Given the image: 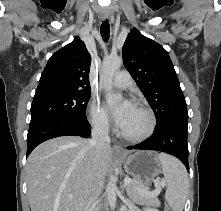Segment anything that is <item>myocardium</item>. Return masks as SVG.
Masks as SVG:
<instances>
[{
    "mask_svg": "<svg viewBox=\"0 0 221 211\" xmlns=\"http://www.w3.org/2000/svg\"><path fill=\"white\" fill-rule=\"evenodd\" d=\"M134 105L142 109L148 117V127L146 131L143 134L138 135V136H131V135L125 134L121 130H119L118 134L124 140H127L129 142L139 143V142H143L147 140L148 138L152 136L156 127V118H155L153 111L146 104L140 101H136Z\"/></svg>",
    "mask_w": 221,
    "mask_h": 211,
    "instance_id": "1",
    "label": "myocardium"
}]
</instances>
